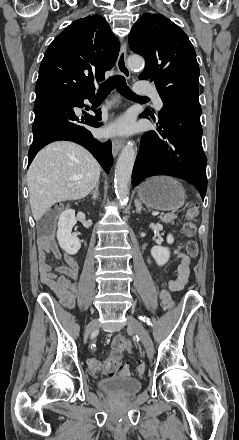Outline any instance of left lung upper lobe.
<instances>
[{
  "instance_id": "1",
  "label": "left lung upper lobe",
  "mask_w": 239,
  "mask_h": 440,
  "mask_svg": "<svg viewBox=\"0 0 239 440\" xmlns=\"http://www.w3.org/2000/svg\"><path fill=\"white\" fill-rule=\"evenodd\" d=\"M128 41L130 49L146 61L139 79L154 81L162 101L176 95L199 97L196 53L175 23L161 14L144 13Z\"/></svg>"
}]
</instances>
